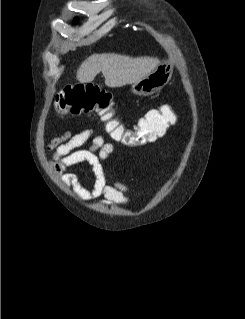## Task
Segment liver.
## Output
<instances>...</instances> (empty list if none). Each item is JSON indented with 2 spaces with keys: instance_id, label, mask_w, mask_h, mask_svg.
<instances>
[{
  "instance_id": "1",
  "label": "liver",
  "mask_w": 245,
  "mask_h": 319,
  "mask_svg": "<svg viewBox=\"0 0 245 319\" xmlns=\"http://www.w3.org/2000/svg\"><path fill=\"white\" fill-rule=\"evenodd\" d=\"M159 64L153 57H130L115 53L93 54L79 66L76 79L81 83L92 82L102 72L105 85L111 88L134 84L146 77Z\"/></svg>"
}]
</instances>
